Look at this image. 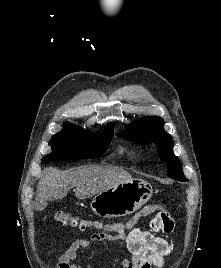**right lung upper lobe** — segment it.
I'll use <instances>...</instances> for the list:
<instances>
[{
  "label": "right lung upper lobe",
  "mask_w": 221,
  "mask_h": 268,
  "mask_svg": "<svg viewBox=\"0 0 221 268\" xmlns=\"http://www.w3.org/2000/svg\"><path fill=\"white\" fill-rule=\"evenodd\" d=\"M107 128H112V129H113L111 123H109V124L107 125Z\"/></svg>",
  "instance_id": "1"
}]
</instances>
